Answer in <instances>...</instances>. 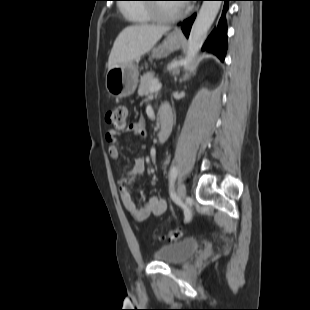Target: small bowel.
Listing matches in <instances>:
<instances>
[{
  "instance_id": "c3829d8e",
  "label": "small bowel",
  "mask_w": 310,
  "mask_h": 310,
  "mask_svg": "<svg viewBox=\"0 0 310 310\" xmlns=\"http://www.w3.org/2000/svg\"><path fill=\"white\" fill-rule=\"evenodd\" d=\"M161 108L170 110L168 105H163ZM127 131L138 137H146L147 131L142 122L131 124ZM119 132L115 129L109 130L105 139L109 143L108 154L113 160H117L120 156L118 136ZM145 171V161L141 157H137L133 160L131 169L122 174L118 181L119 193L122 204L129 215L137 222L145 221L150 215L161 216L167 210V202L163 198L157 196H151L145 203L139 207L134 202L131 194L130 187L132 183L141 176Z\"/></svg>"
}]
</instances>
